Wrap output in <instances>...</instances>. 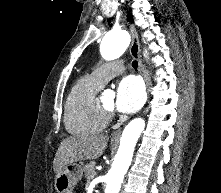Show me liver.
Listing matches in <instances>:
<instances>
[{"instance_id": "obj_1", "label": "liver", "mask_w": 221, "mask_h": 193, "mask_svg": "<svg viewBox=\"0 0 221 193\" xmlns=\"http://www.w3.org/2000/svg\"><path fill=\"white\" fill-rule=\"evenodd\" d=\"M109 137L103 134L70 136L60 143L53 161L55 172L77 161L97 159L100 157Z\"/></svg>"}]
</instances>
